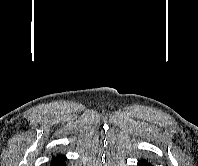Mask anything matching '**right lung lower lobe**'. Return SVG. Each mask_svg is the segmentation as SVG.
<instances>
[{
  "instance_id": "1",
  "label": "right lung lower lobe",
  "mask_w": 198,
  "mask_h": 166,
  "mask_svg": "<svg viewBox=\"0 0 198 166\" xmlns=\"http://www.w3.org/2000/svg\"><path fill=\"white\" fill-rule=\"evenodd\" d=\"M66 158L63 155H57L52 158L50 161L51 166H66L65 165Z\"/></svg>"
}]
</instances>
